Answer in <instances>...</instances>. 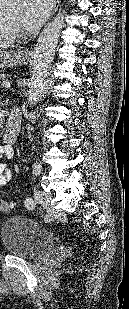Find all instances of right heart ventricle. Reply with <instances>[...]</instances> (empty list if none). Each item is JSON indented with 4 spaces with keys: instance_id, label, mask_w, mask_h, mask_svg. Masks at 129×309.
<instances>
[{
    "instance_id": "obj_1",
    "label": "right heart ventricle",
    "mask_w": 129,
    "mask_h": 309,
    "mask_svg": "<svg viewBox=\"0 0 129 309\" xmlns=\"http://www.w3.org/2000/svg\"><path fill=\"white\" fill-rule=\"evenodd\" d=\"M1 1L2 0H0V2ZM14 39H15V35H13L11 30L9 29L6 23V20H5V15L0 5V46L12 43Z\"/></svg>"
}]
</instances>
